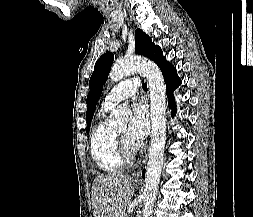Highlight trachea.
<instances>
[{
	"instance_id": "3493384b",
	"label": "trachea",
	"mask_w": 253,
	"mask_h": 217,
	"mask_svg": "<svg viewBox=\"0 0 253 217\" xmlns=\"http://www.w3.org/2000/svg\"><path fill=\"white\" fill-rule=\"evenodd\" d=\"M142 88L145 89V90H147V84L143 82L142 83Z\"/></svg>"
}]
</instances>
